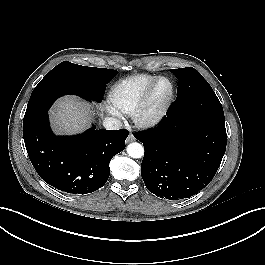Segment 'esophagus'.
<instances>
[{"instance_id": "esophagus-1", "label": "esophagus", "mask_w": 265, "mask_h": 265, "mask_svg": "<svg viewBox=\"0 0 265 265\" xmlns=\"http://www.w3.org/2000/svg\"><path fill=\"white\" fill-rule=\"evenodd\" d=\"M135 140V137L132 134H129L128 138H127V142H132Z\"/></svg>"}]
</instances>
